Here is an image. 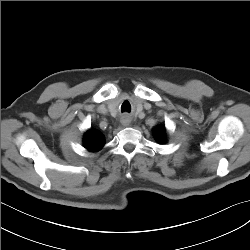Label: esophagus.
<instances>
[{
	"mask_svg": "<svg viewBox=\"0 0 250 250\" xmlns=\"http://www.w3.org/2000/svg\"><path fill=\"white\" fill-rule=\"evenodd\" d=\"M129 123H130V120L128 118H125L122 120V125H124V126H128Z\"/></svg>",
	"mask_w": 250,
	"mask_h": 250,
	"instance_id": "esophagus-1",
	"label": "esophagus"
}]
</instances>
